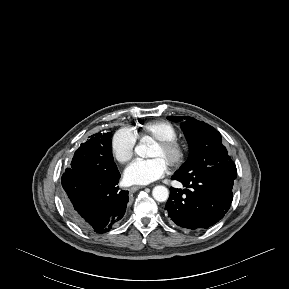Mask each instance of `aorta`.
<instances>
[{"label": "aorta", "mask_w": 289, "mask_h": 289, "mask_svg": "<svg viewBox=\"0 0 289 289\" xmlns=\"http://www.w3.org/2000/svg\"><path fill=\"white\" fill-rule=\"evenodd\" d=\"M135 152L141 156L145 157L147 154V145L146 144H139L135 148ZM153 198L158 202H164L169 197V191L165 186L158 185L155 186L152 190Z\"/></svg>", "instance_id": "obj_1"}]
</instances>
